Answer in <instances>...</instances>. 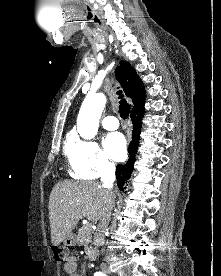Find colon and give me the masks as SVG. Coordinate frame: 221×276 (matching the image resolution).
Instances as JSON below:
<instances>
[{"mask_svg":"<svg viewBox=\"0 0 221 276\" xmlns=\"http://www.w3.org/2000/svg\"><path fill=\"white\" fill-rule=\"evenodd\" d=\"M52 252L55 261L65 262L68 259L67 245H54Z\"/></svg>","mask_w":221,"mask_h":276,"instance_id":"obj_1","label":"colon"}]
</instances>
